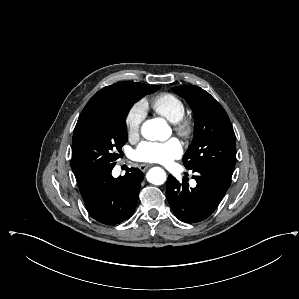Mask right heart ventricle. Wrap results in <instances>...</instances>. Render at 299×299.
Returning a JSON list of instances; mask_svg holds the SVG:
<instances>
[{"mask_svg":"<svg viewBox=\"0 0 299 299\" xmlns=\"http://www.w3.org/2000/svg\"><path fill=\"white\" fill-rule=\"evenodd\" d=\"M152 109L172 123L179 121L185 114L184 102L169 92L158 94L151 100Z\"/></svg>","mask_w":299,"mask_h":299,"instance_id":"1","label":"right heart ventricle"}]
</instances>
